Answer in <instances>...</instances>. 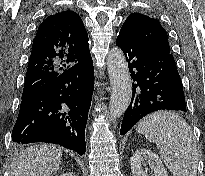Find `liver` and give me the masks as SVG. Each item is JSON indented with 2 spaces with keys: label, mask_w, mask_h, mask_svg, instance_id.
Wrapping results in <instances>:
<instances>
[{
  "label": "liver",
  "mask_w": 205,
  "mask_h": 176,
  "mask_svg": "<svg viewBox=\"0 0 205 176\" xmlns=\"http://www.w3.org/2000/svg\"><path fill=\"white\" fill-rule=\"evenodd\" d=\"M61 157L62 151L53 145L28 147L13 158L10 176H53Z\"/></svg>",
  "instance_id": "obj_1"
}]
</instances>
